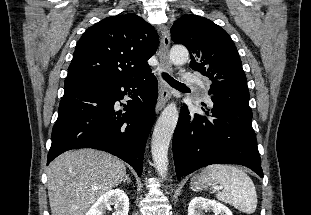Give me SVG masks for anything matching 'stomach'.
I'll return each instance as SVG.
<instances>
[{"instance_id": "stomach-1", "label": "stomach", "mask_w": 311, "mask_h": 215, "mask_svg": "<svg viewBox=\"0 0 311 215\" xmlns=\"http://www.w3.org/2000/svg\"><path fill=\"white\" fill-rule=\"evenodd\" d=\"M191 188L194 190H204L207 189L208 186L212 185V182L207 180L204 176L203 173L200 175H196L191 179Z\"/></svg>"}]
</instances>
